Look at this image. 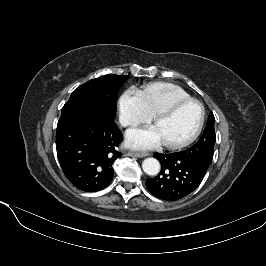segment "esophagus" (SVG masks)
I'll list each match as a JSON object with an SVG mask.
<instances>
[{"label":"esophagus","mask_w":266,"mask_h":266,"mask_svg":"<svg viewBox=\"0 0 266 266\" xmlns=\"http://www.w3.org/2000/svg\"><path fill=\"white\" fill-rule=\"evenodd\" d=\"M128 156L131 157H137V158H143L149 155V153H138V152H129L127 153Z\"/></svg>","instance_id":"obj_1"}]
</instances>
